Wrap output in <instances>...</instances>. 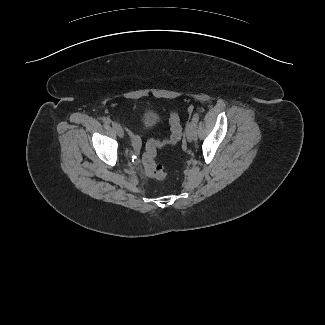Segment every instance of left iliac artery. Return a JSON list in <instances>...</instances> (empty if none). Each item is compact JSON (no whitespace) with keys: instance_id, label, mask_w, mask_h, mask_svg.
Returning <instances> with one entry per match:
<instances>
[{"instance_id":"1","label":"left iliac artery","mask_w":325,"mask_h":325,"mask_svg":"<svg viewBox=\"0 0 325 325\" xmlns=\"http://www.w3.org/2000/svg\"><path fill=\"white\" fill-rule=\"evenodd\" d=\"M199 121V114L195 113L192 117V130H193V134H194V138L197 139V132H196V128H197V123Z\"/></svg>"}]
</instances>
